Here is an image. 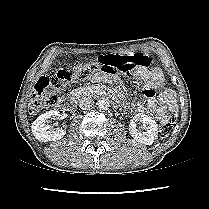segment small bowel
<instances>
[{"label": "small bowel", "instance_id": "obj_1", "mask_svg": "<svg viewBox=\"0 0 209 209\" xmlns=\"http://www.w3.org/2000/svg\"><path fill=\"white\" fill-rule=\"evenodd\" d=\"M138 66L137 76L145 82L146 86L142 93L144 99L135 104L137 110L154 115L157 120L163 118L171 111H175L177 100L174 91L165 89V77L160 68H150ZM96 81H107L108 72H98L94 75ZM116 97L121 102H125V97L121 93H116Z\"/></svg>", "mask_w": 209, "mask_h": 209}]
</instances>
